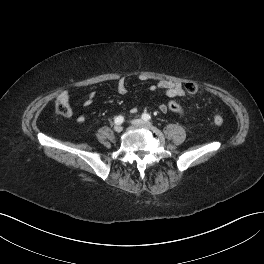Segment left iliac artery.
Returning <instances> with one entry per match:
<instances>
[{
  "label": "left iliac artery",
  "instance_id": "obj_1",
  "mask_svg": "<svg viewBox=\"0 0 264 264\" xmlns=\"http://www.w3.org/2000/svg\"><path fill=\"white\" fill-rule=\"evenodd\" d=\"M142 119L145 121H148L151 119V116L148 113H144V114H142Z\"/></svg>",
  "mask_w": 264,
  "mask_h": 264
}]
</instances>
